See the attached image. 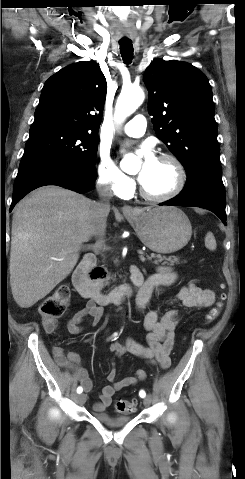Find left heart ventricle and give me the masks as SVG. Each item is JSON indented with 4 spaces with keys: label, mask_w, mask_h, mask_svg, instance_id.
<instances>
[{
    "label": "left heart ventricle",
    "mask_w": 245,
    "mask_h": 479,
    "mask_svg": "<svg viewBox=\"0 0 245 479\" xmlns=\"http://www.w3.org/2000/svg\"><path fill=\"white\" fill-rule=\"evenodd\" d=\"M175 182V171L170 162L157 159L147 178L141 183L150 194L161 195L169 191Z\"/></svg>",
    "instance_id": "b2bd125f"
}]
</instances>
